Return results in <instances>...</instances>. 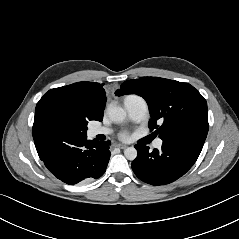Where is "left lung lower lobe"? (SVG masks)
Instances as JSON below:
<instances>
[{"instance_id": "1", "label": "left lung lower lobe", "mask_w": 239, "mask_h": 239, "mask_svg": "<svg viewBox=\"0 0 239 239\" xmlns=\"http://www.w3.org/2000/svg\"><path fill=\"white\" fill-rule=\"evenodd\" d=\"M135 148L138 156L132 162V169L140 180L152 185L169 184L180 178L201 152L173 141H163L162 148L152 152L145 145Z\"/></svg>"}]
</instances>
